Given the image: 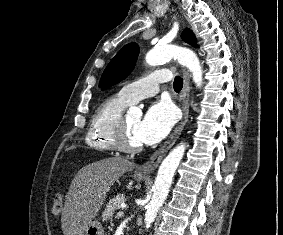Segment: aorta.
I'll list each match as a JSON object with an SVG mask.
<instances>
[{
    "instance_id": "762f6f07",
    "label": "aorta",
    "mask_w": 283,
    "mask_h": 235,
    "mask_svg": "<svg viewBox=\"0 0 283 235\" xmlns=\"http://www.w3.org/2000/svg\"><path fill=\"white\" fill-rule=\"evenodd\" d=\"M177 59L180 64L187 67L192 74V78L197 87L202 85V68L197 55L190 49L179 47L176 45L156 46L146 54V62L150 66L159 65L170 59ZM128 114L140 116L141 110L137 107L130 108ZM186 149L185 143L176 146L162 161L154 185L152 187V198L147 205L145 213V227L148 229L155 220L160 206L166 200L169 189L183 158Z\"/></svg>"
}]
</instances>
